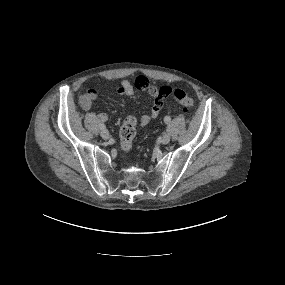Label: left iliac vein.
<instances>
[{
	"mask_svg": "<svg viewBox=\"0 0 285 285\" xmlns=\"http://www.w3.org/2000/svg\"><path fill=\"white\" fill-rule=\"evenodd\" d=\"M170 135H168V134H164L162 137H161V139H160V142L162 143V144H167V143H169L170 142Z\"/></svg>",
	"mask_w": 285,
	"mask_h": 285,
	"instance_id": "left-iliac-vein-1",
	"label": "left iliac vein"
}]
</instances>
